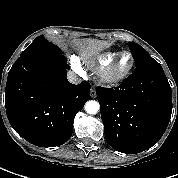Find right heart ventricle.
<instances>
[{
    "instance_id": "e07e8e85",
    "label": "right heart ventricle",
    "mask_w": 178,
    "mask_h": 178,
    "mask_svg": "<svg viewBox=\"0 0 178 178\" xmlns=\"http://www.w3.org/2000/svg\"><path fill=\"white\" fill-rule=\"evenodd\" d=\"M120 52L117 51H110V52H105L99 56H97L93 62L92 66L97 68V69H102L108 66L119 54Z\"/></svg>"
}]
</instances>
